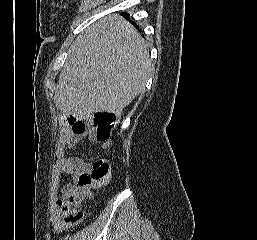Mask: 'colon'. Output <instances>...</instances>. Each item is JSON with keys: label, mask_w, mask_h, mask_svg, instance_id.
<instances>
[{"label": "colon", "mask_w": 257, "mask_h": 240, "mask_svg": "<svg viewBox=\"0 0 257 240\" xmlns=\"http://www.w3.org/2000/svg\"><path fill=\"white\" fill-rule=\"evenodd\" d=\"M67 128L74 134H84L88 125L75 118L67 119ZM116 125V116L113 113L100 112L95 114L90 127L94 130L98 141L110 139ZM110 164L105 158H98L91 166L89 172L79 176L77 184L65 195L57 199V204L63 218L69 225H76L83 220V213L79 210L82 201L88 197L92 190L108 181Z\"/></svg>", "instance_id": "5ec220e1"}]
</instances>
